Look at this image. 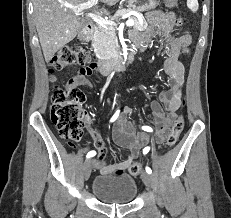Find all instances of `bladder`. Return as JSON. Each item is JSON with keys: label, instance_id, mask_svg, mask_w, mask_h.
<instances>
[{"label": "bladder", "instance_id": "31cf9c89", "mask_svg": "<svg viewBox=\"0 0 231 218\" xmlns=\"http://www.w3.org/2000/svg\"><path fill=\"white\" fill-rule=\"evenodd\" d=\"M92 192L105 203H128L135 198L137 185L128 175H99L93 181Z\"/></svg>", "mask_w": 231, "mask_h": 218}]
</instances>
